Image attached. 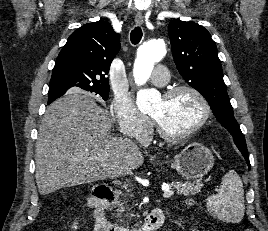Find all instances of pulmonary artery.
Wrapping results in <instances>:
<instances>
[{
	"label": "pulmonary artery",
	"mask_w": 268,
	"mask_h": 231,
	"mask_svg": "<svg viewBox=\"0 0 268 231\" xmlns=\"http://www.w3.org/2000/svg\"><path fill=\"white\" fill-rule=\"evenodd\" d=\"M152 82L157 85H166L169 82V77L165 66H157L156 72L152 77Z\"/></svg>",
	"instance_id": "1"
}]
</instances>
